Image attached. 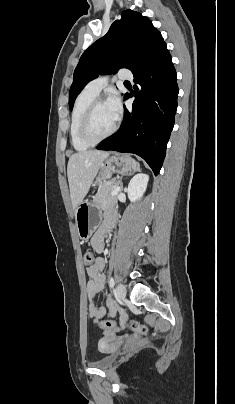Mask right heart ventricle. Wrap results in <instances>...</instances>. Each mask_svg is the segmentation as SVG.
Wrapping results in <instances>:
<instances>
[{
  "mask_svg": "<svg viewBox=\"0 0 235 404\" xmlns=\"http://www.w3.org/2000/svg\"><path fill=\"white\" fill-rule=\"evenodd\" d=\"M95 98V95L83 90L75 100L70 117L69 135L71 144L77 151H84L92 146L82 139L80 125L86 109Z\"/></svg>",
  "mask_w": 235,
  "mask_h": 404,
  "instance_id": "right-heart-ventricle-1",
  "label": "right heart ventricle"
}]
</instances>
